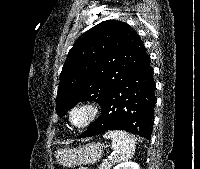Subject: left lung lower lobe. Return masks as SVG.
I'll list each match as a JSON object with an SVG mask.
<instances>
[{"label":"left lung lower lobe","instance_id":"0a47b994","mask_svg":"<svg viewBox=\"0 0 200 169\" xmlns=\"http://www.w3.org/2000/svg\"><path fill=\"white\" fill-rule=\"evenodd\" d=\"M155 83L146 54L103 99L100 117L79 138L124 130L151 139Z\"/></svg>","mask_w":200,"mask_h":169}]
</instances>
